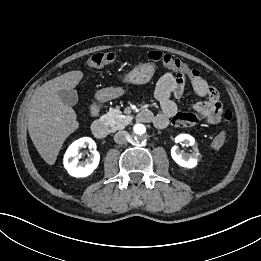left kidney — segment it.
Masks as SVG:
<instances>
[{"instance_id": "5707ae66", "label": "left kidney", "mask_w": 261, "mask_h": 261, "mask_svg": "<svg viewBox=\"0 0 261 261\" xmlns=\"http://www.w3.org/2000/svg\"><path fill=\"white\" fill-rule=\"evenodd\" d=\"M176 143L183 142L193 147V152L191 154H185L178 149L177 146H174L171 149V156L173 160L180 166L185 168H194L197 165L199 158V150L195 144V139L188 134H181L175 138Z\"/></svg>"}]
</instances>
